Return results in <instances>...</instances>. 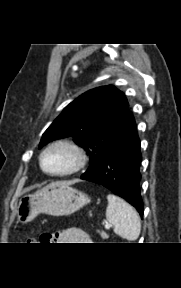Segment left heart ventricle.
<instances>
[{
  "label": "left heart ventricle",
  "mask_w": 181,
  "mask_h": 288,
  "mask_svg": "<svg viewBox=\"0 0 181 288\" xmlns=\"http://www.w3.org/2000/svg\"><path fill=\"white\" fill-rule=\"evenodd\" d=\"M74 164L73 154L64 148H54L44 157V166L50 172H62Z\"/></svg>",
  "instance_id": "obj_1"
}]
</instances>
